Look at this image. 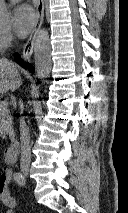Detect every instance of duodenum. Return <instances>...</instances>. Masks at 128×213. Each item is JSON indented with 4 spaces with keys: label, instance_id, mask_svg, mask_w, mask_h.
<instances>
[{
    "label": "duodenum",
    "instance_id": "obj_1",
    "mask_svg": "<svg viewBox=\"0 0 128 213\" xmlns=\"http://www.w3.org/2000/svg\"><path fill=\"white\" fill-rule=\"evenodd\" d=\"M20 143L16 136L11 138V144L4 150V159L7 163H12L18 156Z\"/></svg>",
    "mask_w": 128,
    "mask_h": 213
}]
</instances>
